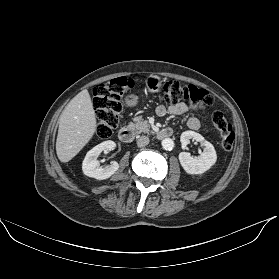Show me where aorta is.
<instances>
[{
  "instance_id": "obj_1",
  "label": "aorta",
  "mask_w": 279,
  "mask_h": 279,
  "mask_svg": "<svg viewBox=\"0 0 279 279\" xmlns=\"http://www.w3.org/2000/svg\"><path fill=\"white\" fill-rule=\"evenodd\" d=\"M161 144H162L163 149L168 150V151L172 150L174 147V142L170 138L163 139Z\"/></svg>"
}]
</instances>
